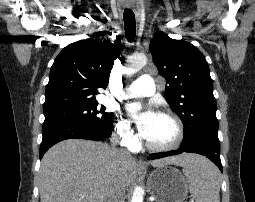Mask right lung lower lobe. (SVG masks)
Returning <instances> with one entry per match:
<instances>
[{"label":"right lung lower lobe","instance_id":"right-lung-lower-lobe-1","mask_svg":"<svg viewBox=\"0 0 255 202\" xmlns=\"http://www.w3.org/2000/svg\"><path fill=\"white\" fill-rule=\"evenodd\" d=\"M43 139L40 145V159L54 144L66 139H88L99 141L111 136V132L101 134L78 122H54L43 124Z\"/></svg>","mask_w":255,"mask_h":202}]
</instances>
